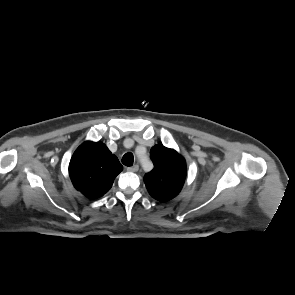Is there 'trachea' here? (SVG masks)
<instances>
[{"label": "trachea", "mask_w": 295, "mask_h": 295, "mask_svg": "<svg viewBox=\"0 0 295 295\" xmlns=\"http://www.w3.org/2000/svg\"><path fill=\"white\" fill-rule=\"evenodd\" d=\"M133 161H134V157L133 154L131 152L126 153L123 157H122V163L125 166H132L133 165Z\"/></svg>", "instance_id": "3493384b"}]
</instances>
